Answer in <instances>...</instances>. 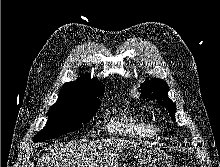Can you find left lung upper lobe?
Masks as SVG:
<instances>
[{
    "label": "left lung upper lobe",
    "instance_id": "left-lung-upper-lobe-1",
    "mask_svg": "<svg viewBox=\"0 0 220 167\" xmlns=\"http://www.w3.org/2000/svg\"><path fill=\"white\" fill-rule=\"evenodd\" d=\"M140 89V98L157 101V103L168 110L170 116L175 121L176 105L168 97L169 88L166 82L161 79L152 78L142 83Z\"/></svg>",
    "mask_w": 220,
    "mask_h": 167
}]
</instances>
